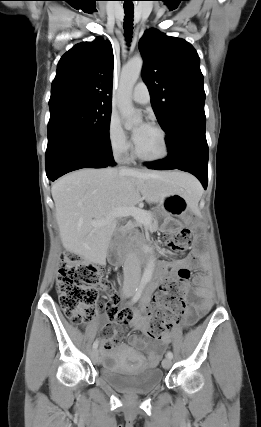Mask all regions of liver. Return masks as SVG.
I'll return each instance as SVG.
<instances>
[{
	"instance_id": "obj_1",
	"label": "liver",
	"mask_w": 261,
	"mask_h": 427,
	"mask_svg": "<svg viewBox=\"0 0 261 427\" xmlns=\"http://www.w3.org/2000/svg\"><path fill=\"white\" fill-rule=\"evenodd\" d=\"M196 180L185 173L115 168H84L58 179L51 188L63 247L85 259L104 263L118 207H135L141 199L161 203L167 196L187 194ZM142 196V197H141ZM110 218L102 226L91 222Z\"/></svg>"
}]
</instances>
